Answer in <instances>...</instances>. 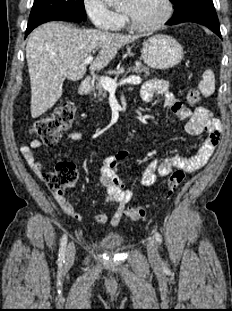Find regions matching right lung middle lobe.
<instances>
[{
    "instance_id": "1",
    "label": "right lung middle lobe",
    "mask_w": 232,
    "mask_h": 311,
    "mask_svg": "<svg viewBox=\"0 0 232 311\" xmlns=\"http://www.w3.org/2000/svg\"><path fill=\"white\" fill-rule=\"evenodd\" d=\"M83 1L84 0H34L29 19L48 13H68L86 20Z\"/></svg>"
}]
</instances>
